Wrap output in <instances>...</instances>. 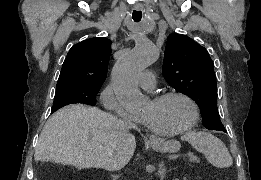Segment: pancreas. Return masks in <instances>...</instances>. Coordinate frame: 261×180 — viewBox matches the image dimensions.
<instances>
[{
  "mask_svg": "<svg viewBox=\"0 0 261 180\" xmlns=\"http://www.w3.org/2000/svg\"><path fill=\"white\" fill-rule=\"evenodd\" d=\"M191 163H194V164H199V163H200V160L198 159V162H191Z\"/></svg>",
  "mask_w": 261,
  "mask_h": 180,
  "instance_id": "obj_1",
  "label": "pancreas"
}]
</instances>
